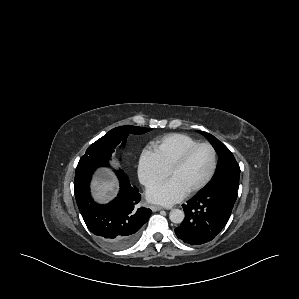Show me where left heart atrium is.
Masks as SVG:
<instances>
[{
  "label": "left heart atrium",
  "mask_w": 299,
  "mask_h": 299,
  "mask_svg": "<svg viewBox=\"0 0 299 299\" xmlns=\"http://www.w3.org/2000/svg\"><path fill=\"white\" fill-rule=\"evenodd\" d=\"M186 193L184 188L170 179L165 183L151 187L147 191V197L151 202L169 206L183 199Z\"/></svg>",
  "instance_id": "1"
}]
</instances>
